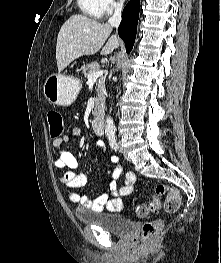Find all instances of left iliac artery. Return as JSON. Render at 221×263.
<instances>
[{
    "label": "left iliac artery",
    "instance_id": "1",
    "mask_svg": "<svg viewBox=\"0 0 221 263\" xmlns=\"http://www.w3.org/2000/svg\"><path fill=\"white\" fill-rule=\"evenodd\" d=\"M108 139H109V144H110L111 148L114 150H117L118 146L116 143L115 134H113V133L108 134Z\"/></svg>",
    "mask_w": 221,
    "mask_h": 263
}]
</instances>
